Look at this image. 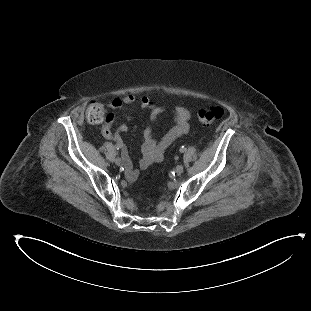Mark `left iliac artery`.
Wrapping results in <instances>:
<instances>
[{
  "mask_svg": "<svg viewBox=\"0 0 311 311\" xmlns=\"http://www.w3.org/2000/svg\"><path fill=\"white\" fill-rule=\"evenodd\" d=\"M185 150H186V148H185L184 146H182V147L180 148L179 151H180L181 153H183V152H185Z\"/></svg>",
  "mask_w": 311,
  "mask_h": 311,
  "instance_id": "44dca946",
  "label": "left iliac artery"
}]
</instances>
